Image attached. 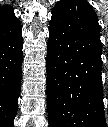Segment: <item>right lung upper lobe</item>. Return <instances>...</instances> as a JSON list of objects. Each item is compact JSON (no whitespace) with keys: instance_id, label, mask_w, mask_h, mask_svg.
<instances>
[{"instance_id":"obj_1","label":"right lung upper lobe","mask_w":108,"mask_h":127,"mask_svg":"<svg viewBox=\"0 0 108 127\" xmlns=\"http://www.w3.org/2000/svg\"><path fill=\"white\" fill-rule=\"evenodd\" d=\"M15 18L13 9L9 5L0 6V21H6Z\"/></svg>"}]
</instances>
